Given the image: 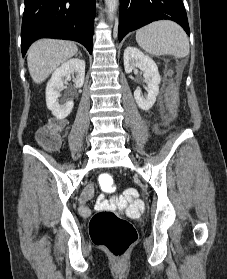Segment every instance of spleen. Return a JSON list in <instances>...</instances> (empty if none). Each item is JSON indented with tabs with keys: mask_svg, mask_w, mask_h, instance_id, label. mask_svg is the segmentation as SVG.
<instances>
[{
	"mask_svg": "<svg viewBox=\"0 0 227 279\" xmlns=\"http://www.w3.org/2000/svg\"><path fill=\"white\" fill-rule=\"evenodd\" d=\"M138 45L153 56L173 55L177 58L189 54V41L183 29L172 21H157L136 32Z\"/></svg>",
	"mask_w": 227,
	"mask_h": 279,
	"instance_id": "3e777b00",
	"label": "spleen"
}]
</instances>
